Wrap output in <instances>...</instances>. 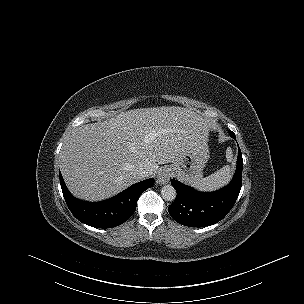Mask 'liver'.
<instances>
[{
	"mask_svg": "<svg viewBox=\"0 0 304 304\" xmlns=\"http://www.w3.org/2000/svg\"><path fill=\"white\" fill-rule=\"evenodd\" d=\"M209 130L208 120L186 108L121 112L77 127L63 146L60 170L74 196L104 200L140 181L137 168L153 177L160 164L179 161L191 149L207 148Z\"/></svg>",
	"mask_w": 304,
	"mask_h": 304,
	"instance_id": "liver-1",
	"label": "liver"
}]
</instances>
